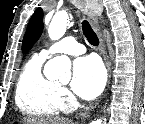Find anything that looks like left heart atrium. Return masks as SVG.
I'll return each instance as SVG.
<instances>
[{
	"label": "left heart atrium",
	"instance_id": "obj_1",
	"mask_svg": "<svg viewBox=\"0 0 145 124\" xmlns=\"http://www.w3.org/2000/svg\"><path fill=\"white\" fill-rule=\"evenodd\" d=\"M105 71L94 56L81 57L73 64L71 86L84 99H92L100 94L105 85Z\"/></svg>",
	"mask_w": 145,
	"mask_h": 124
}]
</instances>
